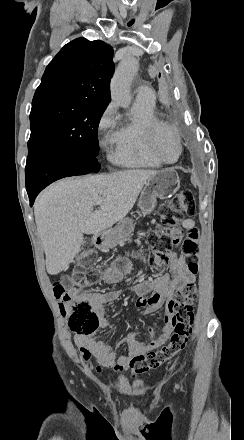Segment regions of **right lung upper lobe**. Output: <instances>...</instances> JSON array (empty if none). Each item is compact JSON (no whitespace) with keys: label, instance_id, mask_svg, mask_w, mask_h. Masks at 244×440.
<instances>
[{"label":"right lung upper lobe","instance_id":"obj_1","mask_svg":"<svg viewBox=\"0 0 244 440\" xmlns=\"http://www.w3.org/2000/svg\"><path fill=\"white\" fill-rule=\"evenodd\" d=\"M112 58V47L100 40L69 42L47 66L33 101L84 100L107 106Z\"/></svg>","mask_w":244,"mask_h":440}]
</instances>
